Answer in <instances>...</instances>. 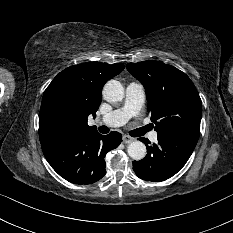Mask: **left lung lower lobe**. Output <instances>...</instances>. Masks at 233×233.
Here are the masks:
<instances>
[{
	"instance_id": "0a47b994",
	"label": "left lung lower lobe",
	"mask_w": 233,
	"mask_h": 233,
	"mask_svg": "<svg viewBox=\"0 0 233 233\" xmlns=\"http://www.w3.org/2000/svg\"><path fill=\"white\" fill-rule=\"evenodd\" d=\"M199 136L177 134L158 136V143L140 138L147 147V155L140 161L133 162V170L142 180L160 182L175 175L188 161Z\"/></svg>"
}]
</instances>
